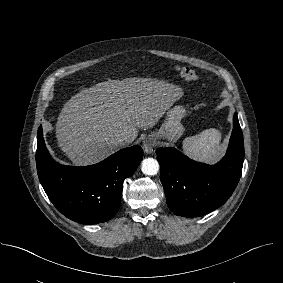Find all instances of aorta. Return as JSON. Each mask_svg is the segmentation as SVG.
I'll return each instance as SVG.
<instances>
[{
  "label": "aorta",
  "mask_w": 283,
  "mask_h": 283,
  "mask_svg": "<svg viewBox=\"0 0 283 283\" xmlns=\"http://www.w3.org/2000/svg\"><path fill=\"white\" fill-rule=\"evenodd\" d=\"M141 170L145 175H156L159 171V163L154 158H146L142 161Z\"/></svg>",
  "instance_id": "1"
}]
</instances>
